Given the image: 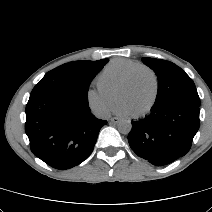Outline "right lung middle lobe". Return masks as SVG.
Returning a JSON list of instances; mask_svg holds the SVG:
<instances>
[{"instance_id":"right-lung-middle-lobe-1","label":"right lung middle lobe","mask_w":212,"mask_h":212,"mask_svg":"<svg viewBox=\"0 0 212 212\" xmlns=\"http://www.w3.org/2000/svg\"><path fill=\"white\" fill-rule=\"evenodd\" d=\"M107 62L108 59H102L63 64L46 73L33 88L31 95L39 92L65 93L88 101L91 80Z\"/></svg>"}]
</instances>
